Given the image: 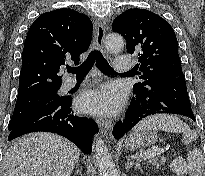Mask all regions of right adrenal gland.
I'll use <instances>...</instances> for the list:
<instances>
[{"label": "right adrenal gland", "mask_w": 205, "mask_h": 176, "mask_svg": "<svg viewBox=\"0 0 205 176\" xmlns=\"http://www.w3.org/2000/svg\"><path fill=\"white\" fill-rule=\"evenodd\" d=\"M79 166H80V162L77 161V162H76V170H75L73 176H76L77 174H79L80 176H83V175H82V172H81V169L79 168Z\"/></svg>", "instance_id": "right-adrenal-gland-1"}]
</instances>
